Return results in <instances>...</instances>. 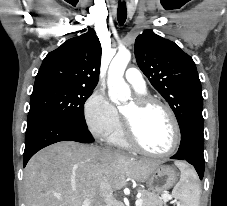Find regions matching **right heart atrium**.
Segmentation results:
<instances>
[{
    "mask_svg": "<svg viewBox=\"0 0 227 206\" xmlns=\"http://www.w3.org/2000/svg\"><path fill=\"white\" fill-rule=\"evenodd\" d=\"M84 118L90 132L100 138L108 137L120 123L116 107L101 91H94L86 100Z\"/></svg>",
    "mask_w": 227,
    "mask_h": 206,
    "instance_id": "1",
    "label": "right heart atrium"
}]
</instances>
